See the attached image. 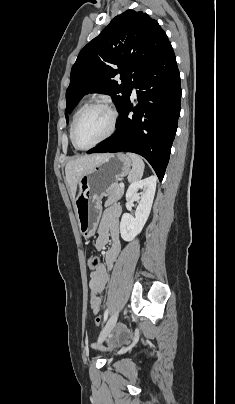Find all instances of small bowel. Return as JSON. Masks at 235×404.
<instances>
[{
	"label": "small bowel",
	"mask_w": 235,
	"mask_h": 404,
	"mask_svg": "<svg viewBox=\"0 0 235 404\" xmlns=\"http://www.w3.org/2000/svg\"><path fill=\"white\" fill-rule=\"evenodd\" d=\"M121 208L118 206L109 207L102 216L97 231L95 248L104 251V264L91 272L89 280V303L94 314H98L102 306V294L109 282L108 270L111 269L120 253L119 241V218Z\"/></svg>",
	"instance_id": "1"
}]
</instances>
